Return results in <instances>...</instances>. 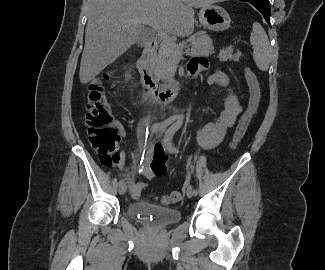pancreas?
<instances>
[{
    "label": "pancreas",
    "instance_id": "cf45deb5",
    "mask_svg": "<svg viewBox=\"0 0 325 270\" xmlns=\"http://www.w3.org/2000/svg\"><path fill=\"white\" fill-rule=\"evenodd\" d=\"M189 46L191 48H188L186 53L191 56H209L214 53L212 40L206 34H200L198 37L192 38ZM184 47H187L185 42L179 45L176 44V46L167 43L160 45L155 65V71L159 79L164 82L172 80L177 68V61L181 57ZM241 55L242 53L240 51L234 53L233 47L229 46L219 52L218 58L220 61H238Z\"/></svg>",
    "mask_w": 325,
    "mask_h": 270
}]
</instances>
